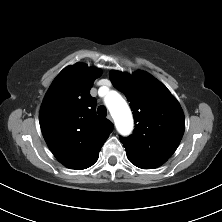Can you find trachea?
Segmentation results:
<instances>
[{"label":"trachea","mask_w":222,"mask_h":222,"mask_svg":"<svg viewBox=\"0 0 222 222\" xmlns=\"http://www.w3.org/2000/svg\"><path fill=\"white\" fill-rule=\"evenodd\" d=\"M97 112L102 117H106V115H107V109L104 106L98 107Z\"/></svg>","instance_id":"trachea-1"}]
</instances>
